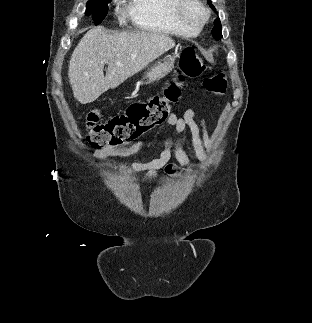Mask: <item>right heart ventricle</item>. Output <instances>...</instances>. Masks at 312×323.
I'll return each instance as SVG.
<instances>
[{"label": "right heart ventricle", "instance_id": "1", "mask_svg": "<svg viewBox=\"0 0 312 323\" xmlns=\"http://www.w3.org/2000/svg\"><path fill=\"white\" fill-rule=\"evenodd\" d=\"M128 20L134 29H152V33H194L195 22L183 18V7L174 0H131Z\"/></svg>", "mask_w": 312, "mask_h": 323}]
</instances>
